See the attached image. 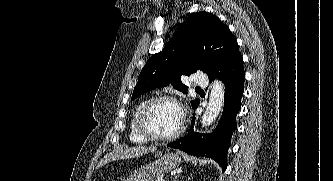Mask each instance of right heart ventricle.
<instances>
[{"mask_svg":"<svg viewBox=\"0 0 333 181\" xmlns=\"http://www.w3.org/2000/svg\"><path fill=\"white\" fill-rule=\"evenodd\" d=\"M145 102L146 101H142L136 106V108L133 112L132 118H131V122H130V140L137 144H144V143L148 142V139L145 138L139 132L138 127H137L138 115Z\"/></svg>","mask_w":333,"mask_h":181,"instance_id":"right-heart-ventricle-1","label":"right heart ventricle"}]
</instances>
